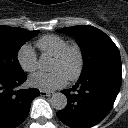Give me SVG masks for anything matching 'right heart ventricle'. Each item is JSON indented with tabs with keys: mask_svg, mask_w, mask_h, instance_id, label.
Listing matches in <instances>:
<instances>
[{
	"mask_svg": "<svg viewBox=\"0 0 128 128\" xmlns=\"http://www.w3.org/2000/svg\"><path fill=\"white\" fill-rule=\"evenodd\" d=\"M69 41L58 35H46L40 38L36 45L44 55L56 56L58 55L67 45Z\"/></svg>",
	"mask_w": 128,
	"mask_h": 128,
	"instance_id": "e07e8e85",
	"label": "right heart ventricle"
}]
</instances>
